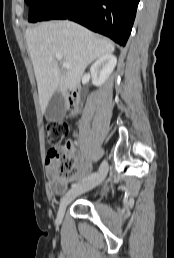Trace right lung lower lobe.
<instances>
[{
    "mask_svg": "<svg viewBox=\"0 0 174 258\" xmlns=\"http://www.w3.org/2000/svg\"><path fill=\"white\" fill-rule=\"evenodd\" d=\"M139 0H53L41 21L70 19L125 46Z\"/></svg>",
    "mask_w": 174,
    "mask_h": 258,
    "instance_id": "right-lung-lower-lobe-1",
    "label": "right lung lower lobe"
}]
</instances>
